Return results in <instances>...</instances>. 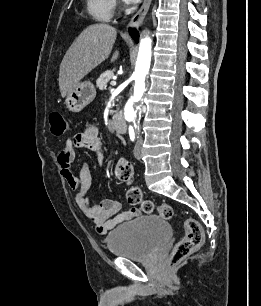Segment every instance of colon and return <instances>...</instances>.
<instances>
[{
    "instance_id": "5ec220e1",
    "label": "colon",
    "mask_w": 261,
    "mask_h": 306,
    "mask_svg": "<svg viewBox=\"0 0 261 306\" xmlns=\"http://www.w3.org/2000/svg\"><path fill=\"white\" fill-rule=\"evenodd\" d=\"M51 132L54 135L62 136L67 132V123L63 115L57 111L49 115ZM114 174L116 179L129 185L127 190V200L130 204L139 206L144 213L155 212L164 219L173 217V209L170 205L162 203L155 205L150 200L144 198L141 189L133 183L134 169L127 159L118 160ZM185 234L176 243L169 256V263L176 265L197 250L203 243V230L199 222L189 218L184 222Z\"/></svg>"
}]
</instances>
